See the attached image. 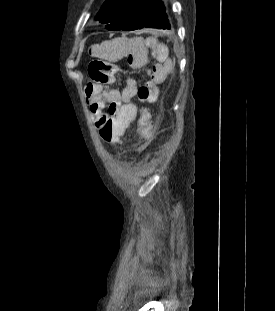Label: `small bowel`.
<instances>
[{
	"label": "small bowel",
	"mask_w": 275,
	"mask_h": 311,
	"mask_svg": "<svg viewBox=\"0 0 275 311\" xmlns=\"http://www.w3.org/2000/svg\"><path fill=\"white\" fill-rule=\"evenodd\" d=\"M142 45V46H141ZM101 57H126L130 67H141L142 71L152 64L151 82L162 83L168 75V70L173 66V58L170 55L168 46L159 43L154 37L146 40L141 38L127 39L126 37L105 41L99 48ZM149 57V60H148ZM116 78L111 77L107 82L88 83L85 88V95L90 107L91 116L97 128L101 127V119L129 118L131 125L138 114L146 117V109H138L133 103L137 95L136 82L129 78L122 90L113 88ZM107 109L108 112H105ZM125 130H121L124 133ZM157 123L153 118H142L137 126H134L135 138L138 143H150L156 139Z\"/></svg>",
	"instance_id": "small-bowel-1"
}]
</instances>
